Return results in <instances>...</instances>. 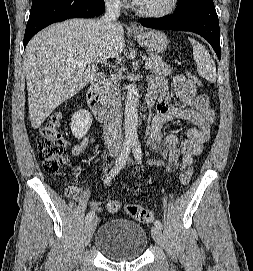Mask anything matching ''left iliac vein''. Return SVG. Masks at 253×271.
Segmentation results:
<instances>
[{
	"instance_id": "1",
	"label": "left iliac vein",
	"mask_w": 253,
	"mask_h": 271,
	"mask_svg": "<svg viewBox=\"0 0 253 271\" xmlns=\"http://www.w3.org/2000/svg\"><path fill=\"white\" fill-rule=\"evenodd\" d=\"M151 234L153 239L155 240V242L160 245V246H164V239H163V234L161 231V228L153 226L151 228Z\"/></svg>"
}]
</instances>
